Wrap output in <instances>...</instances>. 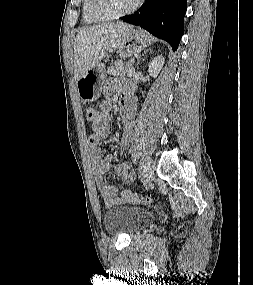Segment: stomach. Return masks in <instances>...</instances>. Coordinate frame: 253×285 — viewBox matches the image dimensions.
Wrapping results in <instances>:
<instances>
[{
    "label": "stomach",
    "instance_id": "0dacf381",
    "mask_svg": "<svg viewBox=\"0 0 253 285\" xmlns=\"http://www.w3.org/2000/svg\"><path fill=\"white\" fill-rule=\"evenodd\" d=\"M150 44L151 39L146 32L131 29L115 51L121 59H125L139 54ZM105 76V65L97 63L76 81L78 95L83 102H92L100 97Z\"/></svg>",
    "mask_w": 253,
    "mask_h": 285
}]
</instances>
